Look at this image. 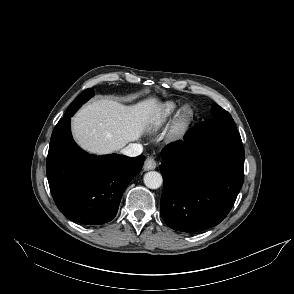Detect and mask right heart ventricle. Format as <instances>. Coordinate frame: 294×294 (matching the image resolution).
Masks as SVG:
<instances>
[{
  "label": "right heart ventricle",
  "mask_w": 294,
  "mask_h": 294,
  "mask_svg": "<svg viewBox=\"0 0 294 294\" xmlns=\"http://www.w3.org/2000/svg\"><path fill=\"white\" fill-rule=\"evenodd\" d=\"M178 105L173 101H167L155 107L149 117V128L152 131L159 129L177 110Z\"/></svg>",
  "instance_id": "right-heart-ventricle-1"
}]
</instances>
